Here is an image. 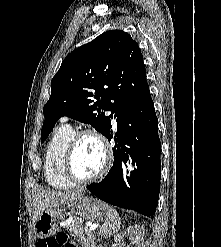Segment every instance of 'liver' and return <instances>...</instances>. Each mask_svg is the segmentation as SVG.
Listing matches in <instances>:
<instances>
[{
    "mask_svg": "<svg viewBox=\"0 0 221 247\" xmlns=\"http://www.w3.org/2000/svg\"><path fill=\"white\" fill-rule=\"evenodd\" d=\"M83 190H41L34 199V218L36 221L42 212L65 206L81 196Z\"/></svg>",
    "mask_w": 221,
    "mask_h": 247,
    "instance_id": "obj_1",
    "label": "liver"
}]
</instances>
